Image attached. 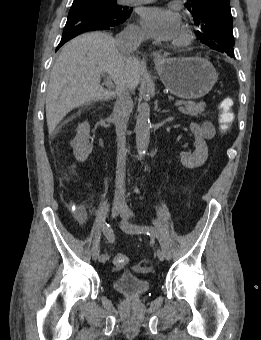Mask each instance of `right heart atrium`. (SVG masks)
Listing matches in <instances>:
<instances>
[{"mask_svg":"<svg viewBox=\"0 0 261 340\" xmlns=\"http://www.w3.org/2000/svg\"><path fill=\"white\" fill-rule=\"evenodd\" d=\"M126 33L128 35L136 36V37H143L142 29L137 25H131L128 27Z\"/></svg>","mask_w":261,"mask_h":340,"instance_id":"right-heart-atrium-1","label":"right heart atrium"}]
</instances>
